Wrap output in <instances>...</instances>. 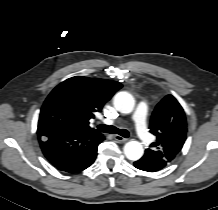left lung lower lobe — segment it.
Returning <instances> with one entry per match:
<instances>
[{"instance_id":"left-lung-lower-lobe-1","label":"left lung lower lobe","mask_w":218,"mask_h":210,"mask_svg":"<svg viewBox=\"0 0 218 210\" xmlns=\"http://www.w3.org/2000/svg\"><path fill=\"white\" fill-rule=\"evenodd\" d=\"M134 166L140 170L155 172L164 168L166 165L161 161L154 160L148 152H145L140 160L134 162Z\"/></svg>"}]
</instances>
